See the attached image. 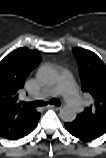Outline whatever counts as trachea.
Instances as JSON below:
<instances>
[{"label": "trachea", "mask_w": 106, "mask_h": 158, "mask_svg": "<svg viewBox=\"0 0 106 158\" xmlns=\"http://www.w3.org/2000/svg\"><path fill=\"white\" fill-rule=\"evenodd\" d=\"M49 103L50 104L59 105L60 101L57 100V99H51L49 101ZM45 104H46V102H44V101H36V102L26 103L25 106H26V108L31 109V108H34V107H37V106H41V105H45Z\"/></svg>", "instance_id": "obj_1"}]
</instances>
